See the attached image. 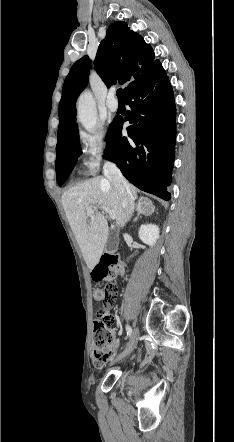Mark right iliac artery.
Wrapping results in <instances>:
<instances>
[{
    "label": "right iliac artery",
    "instance_id": "right-iliac-artery-1",
    "mask_svg": "<svg viewBox=\"0 0 234 442\" xmlns=\"http://www.w3.org/2000/svg\"><path fill=\"white\" fill-rule=\"evenodd\" d=\"M126 331H127V335L131 336L132 328L129 325H126Z\"/></svg>",
    "mask_w": 234,
    "mask_h": 442
}]
</instances>
